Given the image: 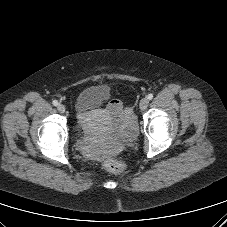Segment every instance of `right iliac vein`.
I'll list each match as a JSON object with an SVG mask.
<instances>
[{
    "instance_id": "1",
    "label": "right iliac vein",
    "mask_w": 227,
    "mask_h": 227,
    "mask_svg": "<svg viewBox=\"0 0 227 227\" xmlns=\"http://www.w3.org/2000/svg\"><path fill=\"white\" fill-rule=\"evenodd\" d=\"M57 110L60 112V113H64L66 111V108L63 104H59L57 106Z\"/></svg>"
}]
</instances>
